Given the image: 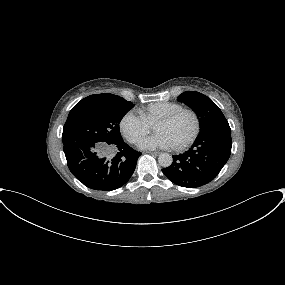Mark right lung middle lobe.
Segmentation results:
<instances>
[{
  "instance_id": "1",
  "label": "right lung middle lobe",
  "mask_w": 285,
  "mask_h": 285,
  "mask_svg": "<svg viewBox=\"0 0 285 285\" xmlns=\"http://www.w3.org/2000/svg\"><path fill=\"white\" fill-rule=\"evenodd\" d=\"M133 107L130 101L108 93L82 99L68 115L63 144L83 141L110 145L122 141L119 123Z\"/></svg>"
}]
</instances>
